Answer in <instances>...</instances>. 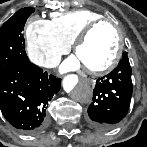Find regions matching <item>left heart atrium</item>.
Listing matches in <instances>:
<instances>
[{"label":"left heart atrium","instance_id":"39dd6f15","mask_svg":"<svg viewBox=\"0 0 147 147\" xmlns=\"http://www.w3.org/2000/svg\"><path fill=\"white\" fill-rule=\"evenodd\" d=\"M81 67V64L77 57L73 56L65 60L62 65H61V71L62 72H67V71H73L77 70Z\"/></svg>","mask_w":147,"mask_h":147}]
</instances>
